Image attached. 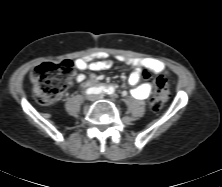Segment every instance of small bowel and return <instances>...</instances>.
<instances>
[{"instance_id":"1","label":"small bowel","mask_w":222,"mask_h":187,"mask_svg":"<svg viewBox=\"0 0 222 187\" xmlns=\"http://www.w3.org/2000/svg\"><path fill=\"white\" fill-rule=\"evenodd\" d=\"M98 60L91 61V57L79 58L75 61V65L79 70H105L112 66L113 62L110 60L105 53L97 54ZM119 61L124 62L128 67L131 68L132 72L129 77V83L132 86L131 93L137 99H147L152 91L153 84L141 83L139 80L143 70H152L159 74H167V68L165 64L155 59H133L126 57H118ZM76 80L82 83L86 80L83 74H78Z\"/></svg>"}]
</instances>
